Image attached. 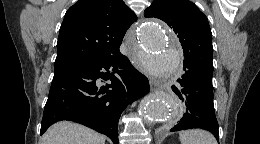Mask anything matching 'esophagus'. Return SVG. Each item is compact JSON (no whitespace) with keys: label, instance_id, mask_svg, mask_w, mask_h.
Returning <instances> with one entry per match:
<instances>
[{"label":"esophagus","instance_id":"esophagus-1","mask_svg":"<svg viewBox=\"0 0 260 144\" xmlns=\"http://www.w3.org/2000/svg\"><path fill=\"white\" fill-rule=\"evenodd\" d=\"M151 82V88L153 89L154 88V86H156V82L155 81H150Z\"/></svg>","mask_w":260,"mask_h":144}]
</instances>
